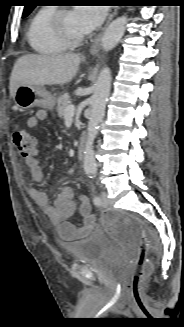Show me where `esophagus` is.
<instances>
[{
    "label": "esophagus",
    "instance_id": "obj_1",
    "mask_svg": "<svg viewBox=\"0 0 184 327\" xmlns=\"http://www.w3.org/2000/svg\"><path fill=\"white\" fill-rule=\"evenodd\" d=\"M117 13V8L113 7L110 9L107 21L105 26L103 27L102 31L98 34V36L96 37L94 43L92 44L91 48H90V53L95 55L99 52V48H100V43H101V38H102V34L106 28V26L110 23V21L114 18V16Z\"/></svg>",
    "mask_w": 184,
    "mask_h": 327
}]
</instances>
